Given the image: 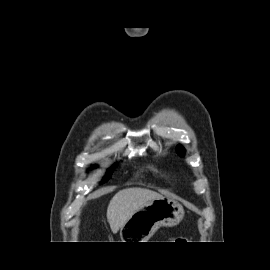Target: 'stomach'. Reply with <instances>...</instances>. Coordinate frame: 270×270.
I'll return each instance as SVG.
<instances>
[{
    "label": "stomach",
    "instance_id": "0dacf381",
    "mask_svg": "<svg viewBox=\"0 0 270 270\" xmlns=\"http://www.w3.org/2000/svg\"><path fill=\"white\" fill-rule=\"evenodd\" d=\"M184 217V209L168 197L153 199L144 204L120 229L122 242H147L161 227L177 225Z\"/></svg>",
    "mask_w": 270,
    "mask_h": 270
}]
</instances>
